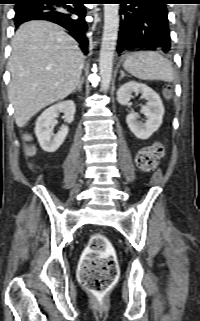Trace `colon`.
<instances>
[{"mask_svg":"<svg viewBox=\"0 0 200 321\" xmlns=\"http://www.w3.org/2000/svg\"><path fill=\"white\" fill-rule=\"evenodd\" d=\"M32 147L27 148L29 155ZM164 155L161 144L142 149L137 155V165L144 172L154 170ZM118 275L115 251L109 239L101 233H95L89 240L79 268L81 284L91 293L102 296L112 286Z\"/></svg>","mask_w":200,"mask_h":321,"instance_id":"obj_1","label":"colon"}]
</instances>
